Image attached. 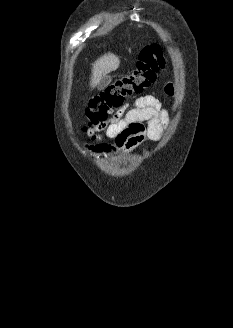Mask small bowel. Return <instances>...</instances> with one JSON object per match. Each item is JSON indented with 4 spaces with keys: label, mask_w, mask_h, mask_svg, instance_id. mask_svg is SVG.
<instances>
[{
    "label": "small bowel",
    "mask_w": 233,
    "mask_h": 328,
    "mask_svg": "<svg viewBox=\"0 0 233 328\" xmlns=\"http://www.w3.org/2000/svg\"><path fill=\"white\" fill-rule=\"evenodd\" d=\"M167 94L173 93L171 85L165 87ZM169 114L161 101L151 95L136 99L133 103L121 106L109 121L88 129L92 144L89 150L98 154L112 155L118 152L128 154L138 148L147 138L157 140ZM104 131L111 142L103 141L98 133Z\"/></svg>",
    "instance_id": "obj_1"
}]
</instances>
